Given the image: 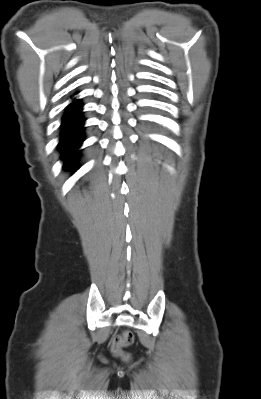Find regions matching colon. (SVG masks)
Returning <instances> with one entry per match:
<instances>
[{"instance_id": "colon-1", "label": "colon", "mask_w": 261, "mask_h": 399, "mask_svg": "<svg viewBox=\"0 0 261 399\" xmlns=\"http://www.w3.org/2000/svg\"><path fill=\"white\" fill-rule=\"evenodd\" d=\"M134 341V335L131 331H125L114 336L111 342V350L115 355L127 357L124 348L131 345Z\"/></svg>"}]
</instances>
